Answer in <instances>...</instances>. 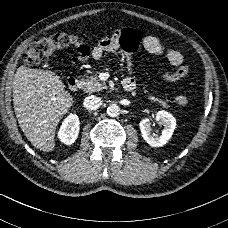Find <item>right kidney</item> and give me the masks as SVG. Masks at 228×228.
Here are the masks:
<instances>
[{
	"label": "right kidney",
	"instance_id": "ca27d5eb",
	"mask_svg": "<svg viewBox=\"0 0 228 228\" xmlns=\"http://www.w3.org/2000/svg\"><path fill=\"white\" fill-rule=\"evenodd\" d=\"M79 133V119L76 115L68 117L59 132V137L65 144H73Z\"/></svg>",
	"mask_w": 228,
	"mask_h": 228
}]
</instances>
